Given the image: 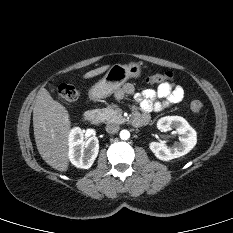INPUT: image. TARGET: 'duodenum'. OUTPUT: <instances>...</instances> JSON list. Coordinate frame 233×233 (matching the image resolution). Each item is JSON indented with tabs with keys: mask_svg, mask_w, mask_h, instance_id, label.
Returning a JSON list of instances; mask_svg holds the SVG:
<instances>
[{
	"mask_svg": "<svg viewBox=\"0 0 233 233\" xmlns=\"http://www.w3.org/2000/svg\"><path fill=\"white\" fill-rule=\"evenodd\" d=\"M82 120L86 125H96L99 123L98 114L93 110H88V111L84 112ZM141 124L142 123L140 122L139 125H141Z\"/></svg>",
	"mask_w": 233,
	"mask_h": 233,
	"instance_id": "duodenum-1",
	"label": "duodenum"
}]
</instances>
